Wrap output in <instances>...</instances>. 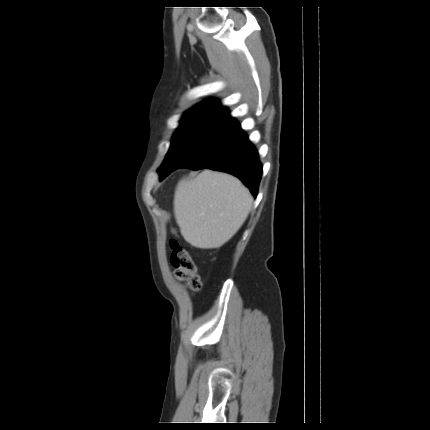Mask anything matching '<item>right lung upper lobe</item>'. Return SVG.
<instances>
[{
	"label": "right lung upper lobe",
	"mask_w": 430,
	"mask_h": 430,
	"mask_svg": "<svg viewBox=\"0 0 430 430\" xmlns=\"http://www.w3.org/2000/svg\"><path fill=\"white\" fill-rule=\"evenodd\" d=\"M208 106L220 107L219 104L217 103V101H215V100H208V101H204V102L199 103L198 105H196L192 109L202 108V107H208Z\"/></svg>",
	"instance_id": "right-lung-upper-lobe-1"
}]
</instances>
